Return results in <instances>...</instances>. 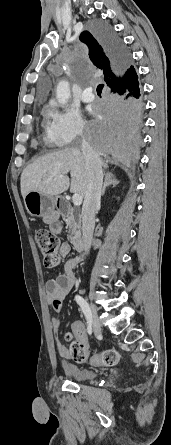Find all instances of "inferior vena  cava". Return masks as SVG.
Returning a JSON list of instances; mask_svg holds the SVG:
<instances>
[{"label":"inferior vena cava","instance_id":"obj_1","mask_svg":"<svg viewBox=\"0 0 171 445\" xmlns=\"http://www.w3.org/2000/svg\"><path fill=\"white\" fill-rule=\"evenodd\" d=\"M81 150L88 171V185L82 207L83 249L85 253H88L93 239L96 210L100 207L103 172L100 156L84 137L81 142Z\"/></svg>","mask_w":171,"mask_h":445}]
</instances>
